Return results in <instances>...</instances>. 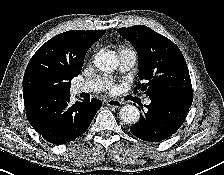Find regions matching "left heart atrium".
<instances>
[{
    "mask_svg": "<svg viewBox=\"0 0 224 175\" xmlns=\"http://www.w3.org/2000/svg\"><path fill=\"white\" fill-rule=\"evenodd\" d=\"M111 91H115V89H114V88H112V89H111Z\"/></svg>",
    "mask_w": 224,
    "mask_h": 175,
    "instance_id": "39dd6f15",
    "label": "left heart atrium"
}]
</instances>
